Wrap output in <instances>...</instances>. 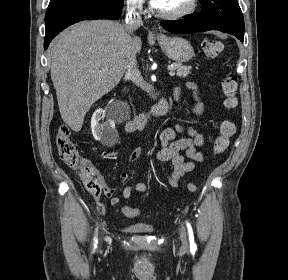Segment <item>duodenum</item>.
I'll use <instances>...</instances> for the list:
<instances>
[{"mask_svg":"<svg viewBox=\"0 0 288 280\" xmlns=\"http://www.w3.org/2000/svg\"><path fill=\"white\" fill-rule=\"evenodd\" d=\"M169 109V102L162 99L149 111L140 113L139 115L129 119L125 124V128L128 131L142 130L152 119L166 115Z\"/></svg>","mask_w":288,"mask_h":280,"instance_id":"obj_1","label":"duodenum"}]
</instances>
